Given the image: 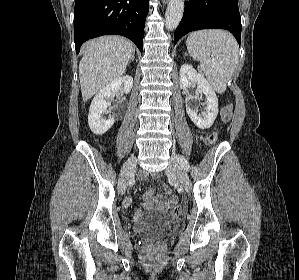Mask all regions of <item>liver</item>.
<instances>
[{
  "instance_id": "obj_1",
  "label": "liver",
  "mask_w": 299,
  "mask_h": 280,
  "mask_svg": "<svg viewBox=\"0 0 299 280\" xmlns=\"http://www.w3.org/2000/svg\"><path fill=\"white\" fill-rule=\"evenodd\" d=\"M133 52L132 43L118 36H103L86 42L79 64L83 101L86 102L100 89L120 78Z\"/></svg>"
}]
</instances>
